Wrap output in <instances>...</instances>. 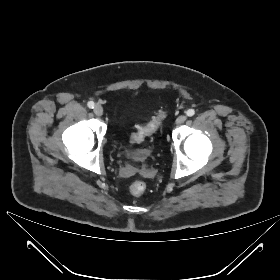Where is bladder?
Wrapping results in <instances>:
<instances>
[{
    "label": "bladder",
    "mask_w": 280,
    "mask_h": 280,
    "mask_svg": "<svg viewBox=\"0 0 280 280\" xmlns=\"http://www.w3.org/2000/svg\"><path fill=\"white\" fill-rule=\"evenodd\" d=\"M131 158L141 164L146 163L151 157V150L147 148H138L130 153Z\"/></svg>",
    "instance_id": "1"
}]
</instances>
